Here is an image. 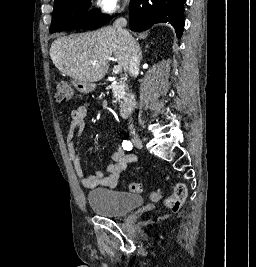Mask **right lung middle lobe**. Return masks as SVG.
Listing matches in <instances>:
<instances>
[{
	"label": "right lung middle lobe",
	"mask_w": 256,
	"mask_h": 267,
	"mask_svg": "<svg viewBox=\"0 0 256 267\" xmlns=\"http://www.w3.org/2000/svg\"><path fill=\"white\" fill-rule=\"evenodd\" d=\"M91 0H58L54 2L51 33L77 28L94 29L106 24L110 17L93 9Z\"/></svg>",
	"instance_id": "1"
}]
</instances>
